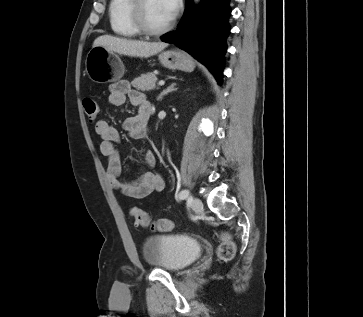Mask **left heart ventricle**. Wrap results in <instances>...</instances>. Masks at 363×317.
I'll use <instances>...</instances> for the list:
<instances>
[{
	"instance_id": "b2bd125f",
	"label": "left heart ventricle",
	"mask_w": 363,
	"mask_h": 317,
	"mask_svg": "<svg viewBox=\"0 0 363 317\" xmlns=\"http://www.w3.org/2000/svg\"><path fill=\"white\" fill-rule=\"evenodd\" d=\"M144 19L146 24L158 29L165 26L170 18L164 0H146L144 4Z\"/></svg>"
}]
</instances>
